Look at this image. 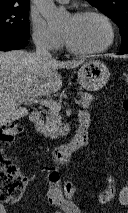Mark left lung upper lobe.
Returning a JSON list of instances; mask_svg holds the SVG:
<instances>
[{"label": "left lung upper lobe", "mask_w": 128, "mask_h": 213, "mask_svg": "<svg viewBox=\"0 0 128 213\" xmlns=\"http://www.w3.org/2000/svg\"><path fill=\"white\" fill-rule=\"evenodd\" d=\"M106 14L119 27L121 34L120 50L128 49V0H86Z\"/></svg>", "instance_id": "1"}]
</instances>
